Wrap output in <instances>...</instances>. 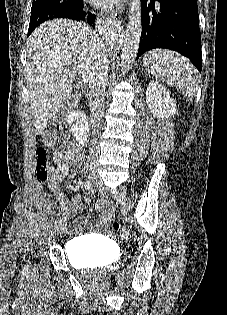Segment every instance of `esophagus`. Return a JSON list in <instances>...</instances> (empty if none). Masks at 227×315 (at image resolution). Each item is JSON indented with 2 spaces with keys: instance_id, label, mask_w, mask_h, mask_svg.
<instances>
[{
  "instance_id": "1",
  "label": "esophagus",
  "mask_w": 227,
  "mask_h": 315,
  "mask_svg": "<svg viewBox=\"0 0 227 315\" xmlns=\"http://www.w3.org/2000/svg\"><path fill=\"white\" fill-rule=\"evenodd\" d=\"M110 19L113 21L115 25H120L121 23L120 20L114 14L110 16Z\"/></svg>"
}]
</instances>
